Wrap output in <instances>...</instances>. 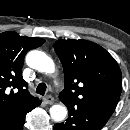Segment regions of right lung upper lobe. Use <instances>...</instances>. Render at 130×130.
<instances>
[{"label": "right lung upper lobe", "mask_w": 130, "mask_h": 130, "mask_svg": "<svg viewBox=\"0 0 130 130\" xmlns=\"http://www.w3.org/2000/svg\"><path fill=\"white\" fill-rule=\"evenodd\" d=\"M44 42L13 31L0 34V121L18 116L39 102L28 91L22 67L25 54Z\"/></svg>", "instance_id": "1"}]
</instances>
